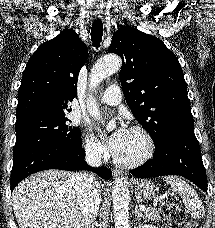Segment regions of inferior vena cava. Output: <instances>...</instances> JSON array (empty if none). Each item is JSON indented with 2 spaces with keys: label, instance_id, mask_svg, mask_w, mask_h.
Here are the masks:
<instances>
[{
  "label": "inferior vena cava",
  "instance_id": "inferior-vena-cava-1",
  "mask_svg": "<svg viewBox=\"0 0 215 228\" xmlns=\"http://www.w3.org/2000/svg\"><path fill=\"white\" fill-rule=\"evenodd\" d=\"M102 150L86 146L85 162L92 168H99L102 162ZM75 192L80 208L84 228H97L96 214L101 204V184L96 182L94 174H75Z\"/></svg>",
  "mask_w": 215,
  "mask_h": 228
}]
</instances>
